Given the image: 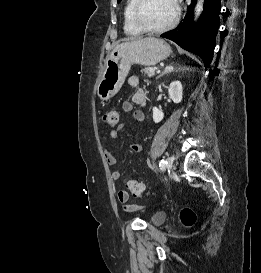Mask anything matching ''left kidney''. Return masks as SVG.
Listing matches in <instances>:
<instances>
[{
  "label": "left kidney",
  "instance_id": "obj_1",
  "mask_svg": "<svg viewBox=\"0 0 261 273\" xmlns=\"http://www.w3.org/2000/svg\"><path fill=\"white\" fill-rule=\"evenodd\" d=\"M168 93L171 98V100L174 103H180L182 101V95H183V88L180 81H173L170 83L168 88ZM164 113L159 110L157 107L153 108V121L155 123H159L163 120Z\"/></svg>",
  "mask_w": 261,
  "mask_h": 273
}]
</instances>
